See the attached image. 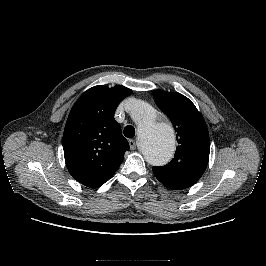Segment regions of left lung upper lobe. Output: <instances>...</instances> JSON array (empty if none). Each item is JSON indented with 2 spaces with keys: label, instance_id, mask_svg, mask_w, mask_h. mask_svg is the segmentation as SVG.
I'll return each instance as SVG.
<instances>
[{
  "label": "left lung upper lobe",
  "instance_id": "left-lung-upper-lobe-1",
  "mask_svg": "<svg viewBox=\"0 0 266 266\" xmlns=\"http://www.w3.org/2000/svg\"><path fill=\"white\" fill-rule=\"evenodd\" d=\"M153 98L171 120L179 144L167 165L153 167L154 175L169 189L188 188L200 179L208 164L210 142L206 123L195 105L180 93L155 90Z\"/></svg>",
  "mask_w": 266,
  "mask_h": 266
}]
</instances>
